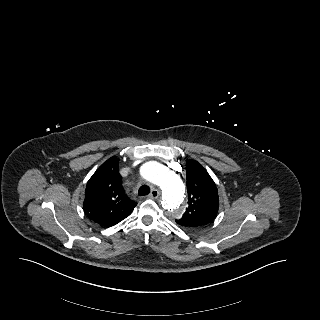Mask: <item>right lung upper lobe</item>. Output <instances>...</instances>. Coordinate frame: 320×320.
I'll use <instances>...</instances> for the list:
<instances>
[{
	"mask_svg": "<svg viewBox=\"0 0 320 320\" xmlns=\"http://www.w3.org/2000/svg\"><path fill=\"white\" fill-rule=\"evenodd\" d=\"M136 205L121 186L118 158H109L87 182L83 204L85 214L100 226L109 228L128 217Z\"/></svg>",
	"mask_w": 320,
	"mask_h": 320,
	"instance_id": "right-lung-upper-lobe-1",
	"label": "right lung upper lobe"
}]
</instances>
